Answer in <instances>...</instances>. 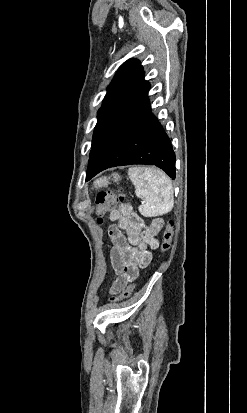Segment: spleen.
I'll use <instances>...</instances> for the list:
<instances>
[{"label": "spleen", "mask_w": 247, "mask_h": 413, "mask_svg": "<svg viewBox=\"0 0 247 413\" xmlns=\"http://www.w3.org/2000/svg\"><path fill=\"white\" fill-rule=\"evenodd\" d=\"M129 178L135 184L136 196L145 198L144 207L140 211H146L149 217L152 215H166L173 209L174 192L171 178L160 168H142L132 166L128 170Z\"/></svg>", "instance_id": "obj_1"}]
</instances>
